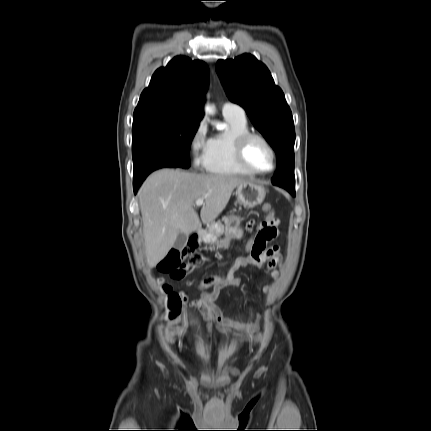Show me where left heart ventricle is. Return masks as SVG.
<instances>
[{
  "instance_id": "1",
  "label": "left heart ventricle",
  "mask_w": 431,
  "mask_h": 431,
  "mask_svg": "<svg viewBox=\"0 0 431 431\" xmlns=\"http://www.w3.org/2000/svg\"><path fill=\"white\" fill-rule=\"evenodd\" d=\"M245 157L250 166L266 171L272 166V156L266 145L258 139L251 140L245 150Z\"/></svg>"
}]
</instances>
